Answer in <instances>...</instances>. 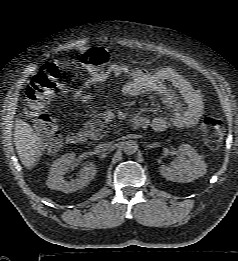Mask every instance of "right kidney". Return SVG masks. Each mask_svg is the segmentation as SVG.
I'll return each instance as SVG.
<instances>
[{
    "instance_id": "obj_1",
    "label": "right kidney",
    "mask_w": 238,
    "mask_h": 261,
    "mask_svg": "<svg viewBox=\"0 0 238 261\" xmlns=\"http://www.w3.org/2000/svg\"><path fill=\"white\" fill-rule=\"evenodd\" d=\"M77 165L74 153H67L58 158L50 168V174L47 179V186L53 190H59L64 193H71L87 186L94 178L97 172V167L90 162L84 165L79 172V178L67 182L63 175L69 172Z\"/></svg>"
}]
</instances>
